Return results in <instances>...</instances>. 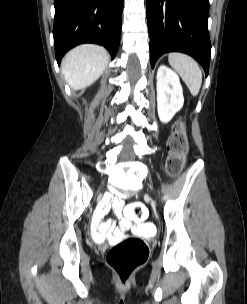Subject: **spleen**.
<instances>
[{"instance_id":"3e777b00","label":"spleen","mask_w":247,"mask_h":304,"mask_svg":"<svg viewBox=\"0 0 247 304\" xmlns=\"http://www.w3.org/2000/svg\"><path fill=\"white\" fill-rule=\"evenodd\" d=\"M170 65L178 72L190 93L197 96L202 84V72L197 62L184 53L173 52L168 55Z\"/></svg>"}]
</instances>
